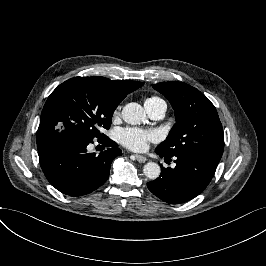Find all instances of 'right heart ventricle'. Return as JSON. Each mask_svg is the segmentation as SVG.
Returning <instances> with one entry per match:
<instances>
[{
    "label": "right heart ventricle",
    "instance_id": "1",
    "mask_svg": "<svg viewBox=\"0 0 266 266\" xmlns=\"http://www.w3.org/2000/svg\"><path fill=\"white\" fill-rule=\"evenodd\" d=\"M164 101L161 97L153 95L145 100V105L156 106L160 102Z\"/></svg>",
    "mask_w": 266,
    "mask_h": 266
}]
</instances>
